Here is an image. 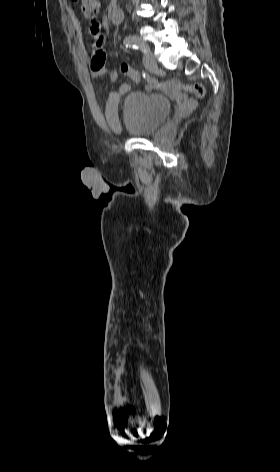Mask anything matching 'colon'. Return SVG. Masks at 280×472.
<instances>
[{"instance_id":"colon-1","label":"colon","mask_w":280,"mask_h":472,"mask_svg":"<svg viewBox=\"0 0 280 472\" xmlns=\"http://www.w3.org/2000/svg\"><path fill=\"white\" fill-rule=\"evenodd\" d=\"M79 3L83 16L92 22L96 20L98 13V2L97 0H73ZM121 72L126 75L133 82H143L147 86L160 89L168 94H173L179 90H185L193 94L196 98H203L205 94V88L199 83L183 84L177 80H166L158 81L155 79L144 78L135 69L128 64H122Z\"/></svg>"}]
</instances>
